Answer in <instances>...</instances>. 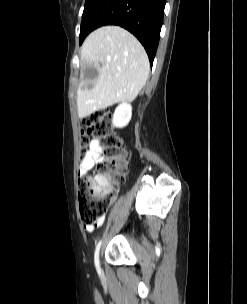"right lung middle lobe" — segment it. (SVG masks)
Wrapping results in <instances>:
<instances>
[{
    "mask_svg": "<svg viewBox=\"0 0 247 304\" xmlns=\"http://www.w3.org/2000/svg\"><path fill=\"white\" fill-rule=\"evenodd\" d=\"M99 0H86L84 11L82 14V20L91 12V10L94 8V6L98 3ZM83 30H80V37L83 35Z\"/></svg>",
    "mask_w": 247,
    "mask_h": 304,
    "instance_id": "1",
    "label": "right lung middle lobe"
}]
</instances>
